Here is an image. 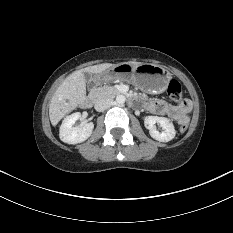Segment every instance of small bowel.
Listing matches in <instances>:
<instances>
[{"instance_id":"obj_1","label":"small bowel","mask_w":233,"mask_h":233,"mask_svg":"<svg viewBox=\"0 0 233 233\" xmlns=\"http://www.w3.org/2000/svg\"><path fill=\"white\" fill-rule=\"evenodd\" d=\"M145 108L156 115L168 116L180 124L183 120L188 119V113L191 110V104L188 101L173 106L163 100H148L145 102Z\"/></svg>"}]
</instances>
